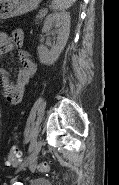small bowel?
Returning <instances> with one entry per match:
<instances>
[{
    "mask_svg": "<svg viewBox=\"0 0 119 185\" xmlns=\"http://www.w3.org/2000/svg\"><path fill=\"white\" fill-rule=\"evenodd\" d=\"M24 40V33L20 29H15L10 33L0 34V53L5 54L13 48L21 49ZM21 69L19 70L17 81L12 83L10 73L7 69H0V84L2 87V95L11 105H17L24 97L26 86L36 71V65L31 60L29 54L20 51Z\"/></svg>",
    "mask_w": 119,
    "mask_h": 185,
    "instance_id": "1",
    "label": "small bowel"
}]
</instances>
